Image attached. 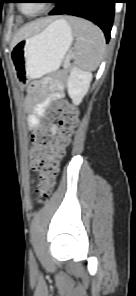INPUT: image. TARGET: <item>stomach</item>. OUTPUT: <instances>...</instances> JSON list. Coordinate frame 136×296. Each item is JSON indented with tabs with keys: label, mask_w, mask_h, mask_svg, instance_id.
Here are the masks:
<instances>
[{
	"label": "stomach",
	"mask_w": 136,
	"mask_h": 296,
	"mask_svg": "<svg viewBox=\"0 0 136 296\" xmlns=\"http://www.w3.org/2000/svg\"><path fill=\"white\" fill-rule=\"evenodd\" d=\"M72 40V27L64 19L19 40L12 47L11 57L20 81L25 83L58 70Z\"/></svg>",
	"instance_id": "0dacf381"
}]
</instances>
